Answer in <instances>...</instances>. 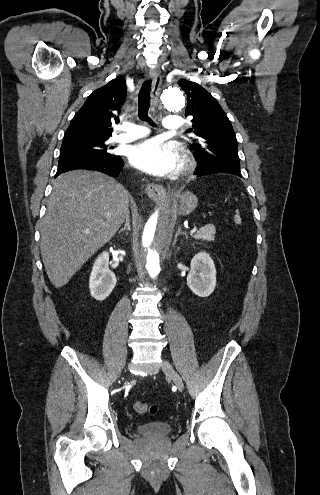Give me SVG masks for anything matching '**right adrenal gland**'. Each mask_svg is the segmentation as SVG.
<instances>
[{
	"label": "right adrenal gland",
	"mask_w": 320,
	"mask_h": 495,
	"mask_svg": "<svg viewBox=\"0 0 320 495\" xmlns=\"http://www.w3.org/2000/svg\"><path fill=\"white\" fill-rule=\"evenodd\" d=\"M125 230H129V231L131 230L129 215H127L125 225H124V227L122 229H120L119 234L122 233Z\"/></svg>",
	"instance_id": "2a0ac1e0"
}]
</instances>
